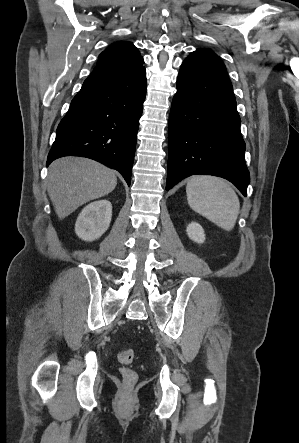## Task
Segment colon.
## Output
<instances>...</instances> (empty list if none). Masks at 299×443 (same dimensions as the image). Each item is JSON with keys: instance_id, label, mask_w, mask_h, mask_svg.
<instances>
[{"instance_id": "colon-1", "label": "colon", "mask_w": 299, "mask_h": 443, "mask_svg": "<svg viewBox=\"0 0 299 443\" xmlns=\"http://www.w3.org/2000/svg\"><path fill=\"white\" fill-rule=\"evenodd\" d=\"M118 360L123 365L121 375L127 385H133L137 381L136 372L128 367L134 360V351L130 348L122 349L118 354Z\"/></svg>"}]
</instances>
